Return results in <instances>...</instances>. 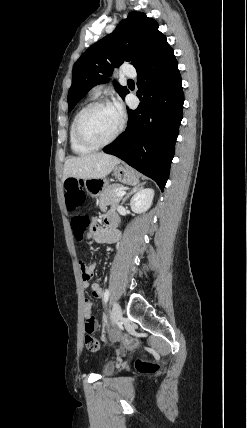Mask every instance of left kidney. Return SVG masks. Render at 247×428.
Listing matches in <instances>:
<instances>
[{
  "label": "left kidney",
  "mask_w": 247,
  "mask_h": 428,
  "mask_svg": "<svg viewBox=\"0 0 247 428\" xmlns=\"http://www.w3.org/2000/svg\"><path fill=\"white\" fill-rule=\"evenodd\" d=\"M153 197V189H139V191L132 197L130 201L131 210L135 213H143L147 211L152 205Z\"/></svg>",
  "instance_id": "left-kidney-1"
}]
</instances>
